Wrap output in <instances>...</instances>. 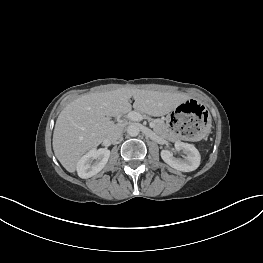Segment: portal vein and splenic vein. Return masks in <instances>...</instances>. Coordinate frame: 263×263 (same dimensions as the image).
<instances>
[{
	"label": "portal vein and splenic vein",
	"mask_w": 263,
	"mask_h": 263,
	"mask_svg": "<svg viewBox=\"0 0 263 263\" xmlns=\"http://www.w3.org/2000/svg\"><path fill=\"white\" fill-rule=\"evenodd\" d=\"M127 117L133 121H141L143 119V116L139 112L131 111L128 113ZM150 128H154L155 124L150 121L149 122Z\"/></svg>",
	"instance_id": "1"
}]
</instances>
